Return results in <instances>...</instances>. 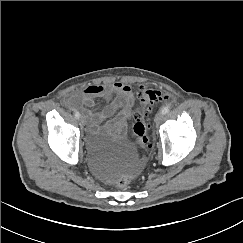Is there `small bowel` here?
<instances>
[{
  "mask_svg": "<svg viewBox=\"0 0 243 243\" xmlns=\"http://www.w3.org/2000/svg\"><path fill=\"white\" fill-rule=\"evenodd\" d=\"M96 99L108 103L101 111L93 112L89 109L94 106ZM134 103L132 88L123 82L87 85L66 98V104L71 109H85V115L93 123L109 119L122 135L126 132V122L132 115Z\"/></svg>",
  "mask_w": 243,
  "mask_h": 243,
  "instance_id": "obj_1",
  "label": "small bowel"
}]
</instances>
